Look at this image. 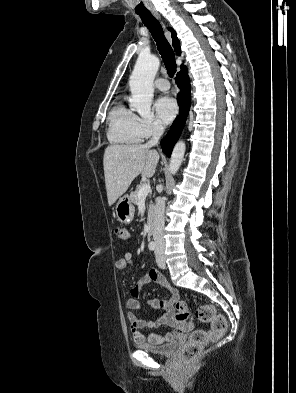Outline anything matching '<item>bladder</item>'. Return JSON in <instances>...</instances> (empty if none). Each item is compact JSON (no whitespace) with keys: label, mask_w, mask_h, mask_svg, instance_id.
<instances>
[{"label":"bladder","mask_w":296,"mask_h":393,"mask_svg":"<svg viewBox=\"0 0 296 393\" xmlns=\"http://www.w3.org/2000/svg\"><path fill=\"white\" fill-rule=\"evenodd\" d=\"M176 346H177V342L175 340H172L161 347H153L151 345L144 344V343L137 345V347L140 350L160 356L171 355L174 352Z\"/></svg>","instance_id":"1"}]
</instances>
